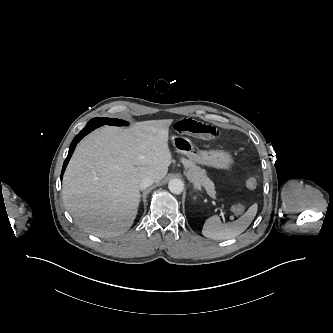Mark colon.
<instances>
[{"instance_id":"obj_1","label":"colon","mask_w":333,"mask_h":333,"mask_svg":"<svg viewBox=\"0 0 333 333\" xmlns=\"http://www.w3.org/2000/svg\"><path fill=\"white\" fill-rule=\"evenodd\" d=\"M245 185L248 189L254 190L258 186V182L254 177H249L246 179ZM244 211H245L244 203L239 202V203L234 204L232 207V212L235 216L241 215Z\"/></svg>"}]
</instances>
